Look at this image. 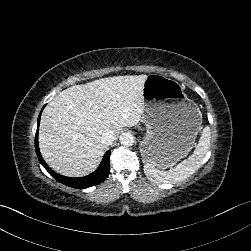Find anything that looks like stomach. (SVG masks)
<instances>
[{"label": "stomach", "mask_w": 251, "mask_h": 251, "mask_svg": "<svg viewBox=\"0 0 251 251\" xmlns=\"http://www.w3.org/2000/svg\"><path fill=\"white\" fill-rule=\"evenodd\" d=\"M142 96L148 133L144 154L158 170H167L191 148L202 123L201 111L181 83L161 74L147 76Z\"/></svg>", "instance_id": "obj_1"}]
</instances>
